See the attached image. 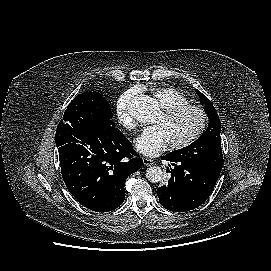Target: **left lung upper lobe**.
Wrapping results in <instances>:
<instances>
[{
    "instance_id": "obj_1",
    "label": "left lung upper lobe",
    "mask_w": 271,
    "mask_h": 271,
    "mask_svg": "<svg viewBox=\"0 0 271 271\" xmlns=\"http://www.w3.org/2000/svg\"><path fill=\"white\" fill-rule=\"evenodd\" d=\"M209 119L207 130L192 144L179 150L170 152L175 158L198 165L207 172L219 176L223 166L221 150V123L211 101L200 91L196 90Z\"/></svg>"
}]
</instances>
